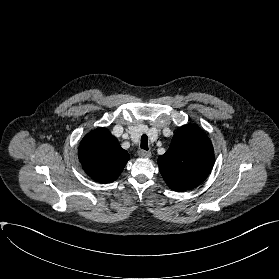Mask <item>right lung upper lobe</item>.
Segmentation results:
<instances>
[{"mask_svg": "<svg viewBox=\"0 0 279 279\" xmlns=\"http://www.w3.org/2000/svg\"><path fill=\"white\" fill-rule=\"evenodd\" d=\"M78 156L84 171L101 183L116 180L129 160L128 152L106 128L88 133L80 143Z\"/></svg>", "mask_w": 279, "mask_h": 279, "instance_id": "right-lung-upper-lobe-1", "label": "right lung upper lobe"}]
</instances>
